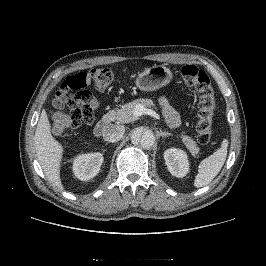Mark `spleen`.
Listing matches in <instances>:
<instances>
[{"label": "spleen", "instance_id": "spleen-1", "mask_svg": "<svg viewBox=\"0 0 266 266\" xmlns=\"http://www.w3.org/2000/svg\"><path fill=\"white\" fill-rule=\"evenodd\" d=\"M228 150V140L224 139L221 147L209 157L203 159L198 166V174L194 186L201 188L208 185L222 169Z\"/></svg>", "mask_w": 266, "mask_h": 266}]
</instances>
